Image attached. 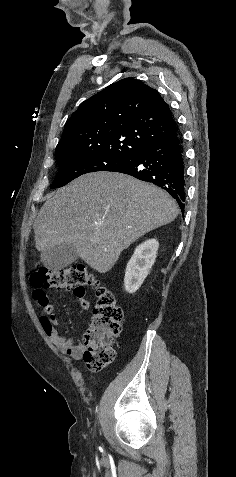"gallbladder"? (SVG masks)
Masks as SVG:
<instances>
[{"instance_id": "gallbladder-1", "label": "gallbladder", "mask_w": 236, "mask_h": 477, "mask_svg": "<svg viewBox=\"0 0 236 477\" xmlns=\"http://www.w3.org/2000/svg\"><path fill=\"white\" fill-rule=\"evenodd\" d=\"M78 259L77 248L65 243L50 248L41 254L42 263L51 270L63 269Z\"/></svg>"}]
</instances>
